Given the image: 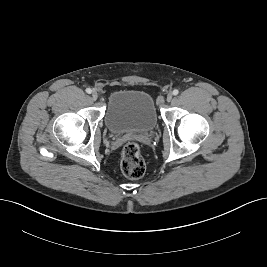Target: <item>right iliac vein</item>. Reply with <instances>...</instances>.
<instances>
[{"label":"right iliac vein","instance_id":"1","mask_svg":"<svg viewBox=\"0 0 267 267\" xmlns=\"http://www.w3.org/2000/svg\"><path fill=\"white\" fill-rule=\"evenodd\" d=\"M92 98H93L94 100H97V98H98V93H97L96 91H93V92H92Z\"/></svg>","mask_w":267,"mask_h":267}]
</instances>
